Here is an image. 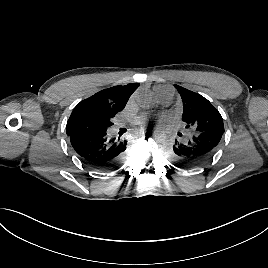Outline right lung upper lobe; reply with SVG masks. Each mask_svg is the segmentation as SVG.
<instances>
[{"label":"right lung upper lobe","mask_w":268,"mask_h":268,"mask_svg":"<svg viewBox=\"0 0 268 268\" xmlns=\"http://www.w3.org/2000/svg\"><path fill=\"white\" fill-rule=\"evenodd\" d=\"M138 86L139 83H130L125 86H114L99 91L78 103L72 113L88 112L115 116L124 109L129 97Z\"/></svg>","instance_id":"cb5924a9"}]
</instances>
